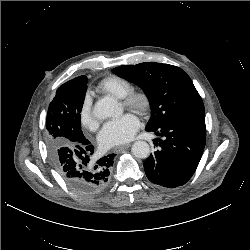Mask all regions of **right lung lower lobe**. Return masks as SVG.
Returning a JSON list of instances; mask_svg holds the SVG:
<instances>
[{"label":"right lung lower lobe","instance_id":"right-lung-lower-lobe-1","mask_svg":"<svg viewBox=\"0 0 250 250\" xmlns=\"http://www.w3.org/2000/svg\"><path fill=\"white\" fill-rule=\"evenodd\" d=\"M93 153V145L85 138L72 147L63 146L50 154L59 175L84 198L95 196L107 187L115 157V154H109L94 160Z\"/></svg>","mask_w":250,"mask_h":250}]
</instances>
